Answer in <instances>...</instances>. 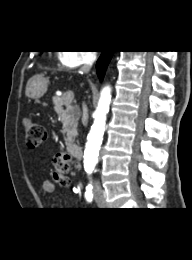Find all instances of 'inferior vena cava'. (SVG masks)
<instances>
[{"label":"inferior vena cava","instance_id":"602c4592","mask_svg":"<svg viewBox=\"0 0 192 260\" xmlns=\"http://www.w3.org/2000/svg\"><path fill=\"white\" fill-rule=\"evenodd\" d=\"M95 60H96V53H95V52H91V53L88 55V57H87L85 63H84L83 66L81 67V70H82L83 72H89V70H90V68L92 67V65H93V63L95 62ZM85 107H86V105L83 104V108H85ZM85 124H86V123H85ZM94 186H95L96 189H100V184H99L98 181H95V182H94Z\"/></svg>","mask_w":192,"mask_h":260}]
</instances>
